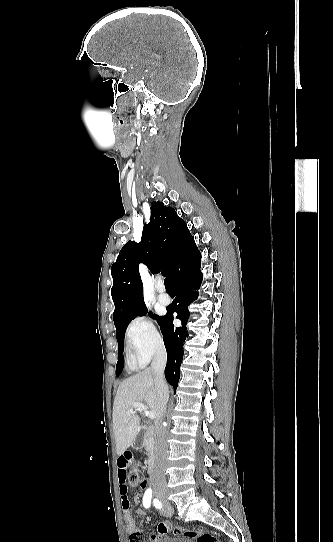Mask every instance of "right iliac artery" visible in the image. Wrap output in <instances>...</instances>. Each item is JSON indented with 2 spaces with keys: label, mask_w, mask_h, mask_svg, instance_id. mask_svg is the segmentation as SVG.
Segmentation results:
<instances>
[{
  "label": "right iliac artery",
  "mask_w": 333,
  "mask_h": 542,
  "mask_svg": "<svg viewBox=\"0 0 333 542\" xmlns=\"http://www.w3.org/2000/svg\"><path fill=\"white\" fill-rule=\"evenodd\" d=\"M151 497H152V490L151 489H147L145 494H144V497H143V506L145 508H149L150 507V504H151ZM156 501H158L157 499H155Z\"/></svg>",
  "instance_id": "obj_1"
}]
</instances>
